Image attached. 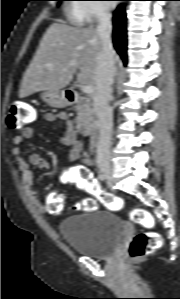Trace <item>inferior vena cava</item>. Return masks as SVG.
Segmentation results:
<instances>
[{"label": "inferior vena cava", "mask_w": 180, "mask_h": 299, "mask_svg": "<svg viewBox=\"0 0 180 299\" xmlns=\"http://www.w3.org/2000/svg\"><path fill=\"white\" fill-rule=\"evenodd\" d=\"M97 32L102 41V51L98 58L96 72V87L93 95V108L98 117L99 137L97 144V158H109L113 113L109 106L112 84L115 75V52L111 42V14L104 8L97 12Z\"/></svg>", "instance_id": "inferior-vena-cava-1"}]
</instances>
